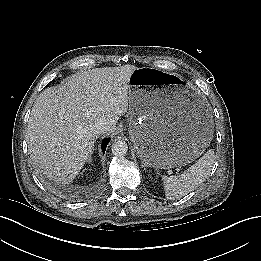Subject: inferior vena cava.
<instances>
[{
  "mask_svg": "<svg viewBox=\"0 0 261 261\" xmlns=\"http://www.w3.org/2000/svg\"><path fill=\"white\" fill-rule=\"evenodd\" d=\"M92 131L100 135L102 133H105L108 129L107 123L103 121L102 119H97L91 126Z\"/></svg>",
  "mask_w": 261,
  "mask_h": 261,
  "instance_id": "inferior-vena-cava-1",
  "label": "inferior vena cava"
}]
</instances>
